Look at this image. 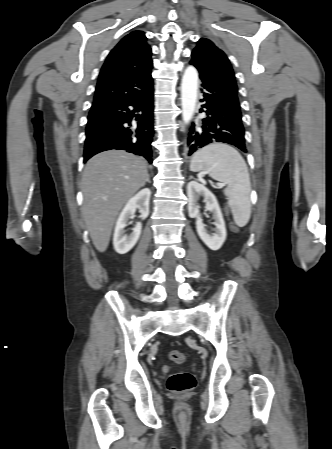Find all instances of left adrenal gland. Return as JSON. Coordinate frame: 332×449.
I'll list each match as a JSON object with an SVG mask.
<instances>
[{"instance_id": "left-adrenal-gland-1", "label": "left adrenal gland", "mask_w": 332, "mask_h": 449, "mask_svg": "<svg viewBox=\"0 0 332 449\" xmlns=\"http://www.w3.org/2000/svg\"><path fill=\"white\" fill-rule=\"evenodd\" d=\"M192 178H193V176H190V177H189V179H192Z\"/></svg>"}]
</instances>
